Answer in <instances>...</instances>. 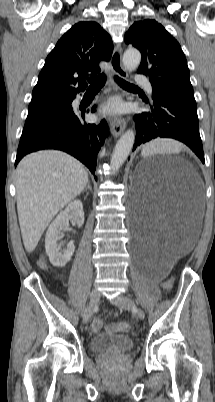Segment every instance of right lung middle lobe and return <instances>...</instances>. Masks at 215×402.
<instances>
[{
	"instance_id": "obj_1",
	"label": "right lung middle lobe",
	"mask_w": 215,
	"mask_h": 402,
	"mask_svg": "<svg viewBox=\"0 0 215 402\" xmlns=\"http://www.w3.org/2000/svg\"><path fill=\"white\" fill-rule=\"evenodd\" d=\"M72 100L68 98H46L31 101L22 136L65 115L71 110Z\"/></svg>"
}]
</instances>
